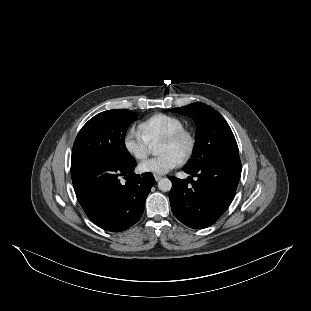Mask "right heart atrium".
Listing matches in <instances>:
<instances>
[{
    "mask_svg": "<svg viewBox=\"0 0 311 311\" xmlns=\"http://www.w3.org/2000/svg\"><path fill=\"white\" fill-rule=\"evenodd\" d=\"M123 146L126 152L136 161H143L150 153V144L144 134L131 126L123 135Z\"/></svg>",
    "mask_w": 311,
    "mask_h": 311,
    "instance_id": "d8ad5b80",
    "label": "right heart atrium"
}]
</instances>
